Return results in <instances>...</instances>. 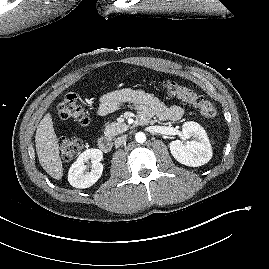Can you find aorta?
I'll return each mask as SVG.
<instances>
[{"instance_id": "obj_1", "label": "aorta", "mask_w": 269, "mask_h": 269, "mask_svg": "<svg viewBox=\"0 0 269 269\" xmlns=\"http://www.w3.org/2000/svg\"><path fill=\"white\" fill-rule=\"evenodd\" d=\"M135 139L138 143H144L146 141V135L143 132H138L135 135Z\"/></svg>"}]
</instances>
